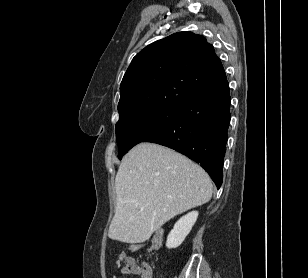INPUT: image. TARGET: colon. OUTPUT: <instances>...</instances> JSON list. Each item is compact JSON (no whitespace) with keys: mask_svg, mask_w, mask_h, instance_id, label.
<instances>
[{"mask_svg":"<svg viewBox=\"0 0 308 278\" xmlns=\"http://www.w3.org/2000/svg\"><path fill=\"white\" fill-rule=\"evenodd\" d=\"M155 238L154 240H152V247L156 248V247H161V240L162 237L165 235V232L163 230H157L155 232ZM140 249V243H130L128 245L127 251L128 253H137V251ZM123 262L125 263V267L126 269L130 272V273H138L139 271H141L142 269V265L139 266L135 263L134 260H132L129 257H126Z\"/></svg>","mask_w":308,"mask_h":278,"instance_id":"colon-1","label":"colon"}]
</instances>
